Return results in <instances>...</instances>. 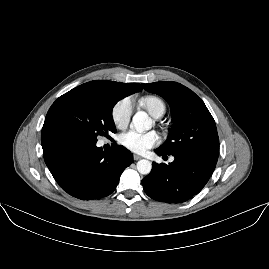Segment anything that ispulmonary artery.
Wrapping results in <instances>:
<instances>
[{"label": "pulmonary artery", "mask_w": 269, "mask_h": 269, "mask_svg": "<svg viewBox=\"0 0 269 269\" xmlns=\"http://www.w3.org/2000/svg\"><path fill=\"white\" fill-rule=\"evenodd\" d=\"M161 116H162V114H159V115H157V116H156V118H160ZM173 159H174V158H173V157H171V159H170V160L172 161Z\"/></svg>", "instance_id": "pulmonary-artery-1"}]
</instances>
